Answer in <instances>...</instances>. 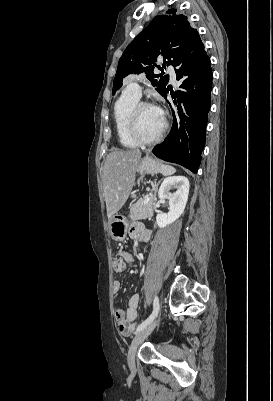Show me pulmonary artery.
<instances>
[{
	"mask_svg": "<svg viewBox=\"0 0 273 401\" xmlns=\"http://www.w3.org/2000/svg\"><path fill=\"white\" fill-rule=\"evenodd\" d=\"M166 69H169L171 72H175L178 69L177 64L171 63L169 66H166ZM170 81L175 84L176 76H170ZM124 93L132 94L133 96L140 98L142 96L141 82L139 80H132L130 85H126L123 88Z\"/></svg>",
	"mask_w": 273,
	"mask_h": 401,
	"instance_id": "e3ab8cb5",
	"label": "pulmonary artery"
}]
</instances>
